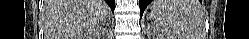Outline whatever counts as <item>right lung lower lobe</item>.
Wrapping results in <instances>:
<instances>
[{
	"label": "right lung lower lobe",
	"instance_id": "right-lung-lower-lobe-1",
	"mask_svg": "<svg viewBox=\"0 0 249 39\" xmlns=\"http://www.w3.org/2000/svg\"><path fill=\"white\" fill-rule=\"evenodd\" d=\"M106 2L110 6V8L112 9V11L114 12V8H115V2H114V0H106Z\"/></svg>",
	"mask_w": 249,
	"mask_h": 39
}]
</instances>
